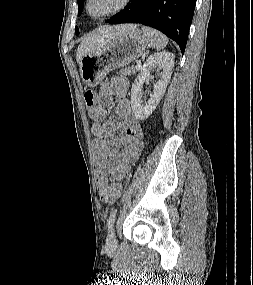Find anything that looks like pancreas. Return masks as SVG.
I'll return each instance as SVG.
<instances>
[{
  "instance_id": "pancreas-1",
  "label": "pancreas",
  "mask_w": 253,
  "mask_h": 285,
  "mask_svg": "<svg viewBox=\"0 0 253 285\" xmlns=\"http://www.w3.org/2000/svg\"><path fill=\"white\" fill-rule=\"evenodd\" d=\"M136 70L137 68L134 65H132V66L126 67L125 69H122L121 73L124 75H132L136 73Z\"/></svg>"
}]
</instances>
